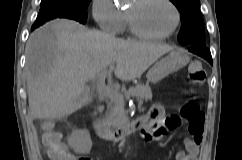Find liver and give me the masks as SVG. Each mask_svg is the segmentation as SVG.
<instances>
[{
    "instance_id": "6515ba94",
    "label": "liver",
    "mask_w": 242,
    "mask_h": 160,
    "mask_svg": "<svg viewBox=\"0 0 242 160\" xmlns=\"http://www.w3.org/2000/svg\"><path fill=\"white\" fill-rule=\"evenodd\" d=\"M168 44L117 39L72 20H54L35 30L26 45L25 75L34 119L73 114L92 101L85 83L110 64L120 80L140 77Z\"/></svg>"
}]
</instances>
